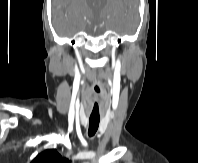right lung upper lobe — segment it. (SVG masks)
Wrapping results in <instances>:
<instances>
[{
    "label": "right lung upper lobe",
    "mask_w": 198,
    "mask_h": 163,
    "mask_svg": "<svg viewBox=\"0 0 198 163\" xmlns=\"http://www.w3.org/2000/svg\"><path fill=\"white\" fill-rule=\"evenodd\" d=\"M31 163H68V159L62 157L56 149H47L38 154Z\"/></svg>",
    "instance_id": "obj_1"
}]
</instances>
